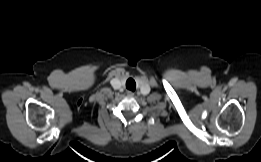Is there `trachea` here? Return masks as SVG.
Instances as JSON below:
<instances>
[{
  "label": "trachea",
  "mask_w": 261,
  "mask_h": 162,
  "mask_svg": "<svg viewBox=\"0 0 261 162\" xmlns=\"http://www.w3.org/2000/svg\"><path fill=\"white\" fill-rule=\"evenodd\" d=\"M126 87H127L128 89L134 91L135 88H136V83H135V81L132 80V79L127 80V82H126Z\"/></svg>",
  "instance_id": "1"
}]
</instances>
